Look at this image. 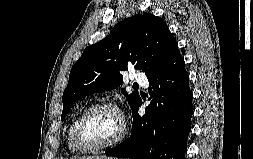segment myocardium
Listing matches in <instances>:
<instances>
[{"label":"myocardium","instance_id":"1","mask_svg":"<svg viewBox=\"0 0 253 159\" xmlns=\"http://www.w3.org/2000/svg\"><path fill=\"white\" fill-rule=\"evenodd\" d=\"M100 109H111L113 110L119 117L121 127L118 134L110 141L97 145V146H87L81 140V129L84 121L86 118L93 112L100 110ZM127 133V123L125 116L121 109L112 102H99L87 107L83 112L79 115L78 119L76 120L74 127H73V134H72V142L74 147L85 153L97 152L102 151L111 147L116 146L120 142L123 141Z\"/></svg>","mask_w":253,"mask_h":159}]
</instances>
